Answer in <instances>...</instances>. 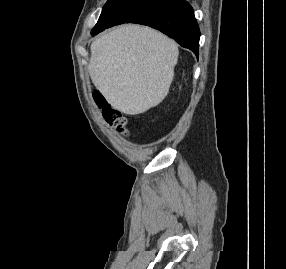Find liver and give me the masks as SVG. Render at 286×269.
Wrapping results in <instances>:
<instances>
[{
	"mask_svg": "<svg viewBox=\"0 0 286 269\" xmlns=\"http://www.w3.org/2000/svg\"><path fill=\"white\" fill-rule=\"evenodd\" d=\"M90 50L92 82L114 109L141 114L168 94L179 52L162 33L123 25L96 39Z\"/></svg>",
	"mask_w": 286,
	"mask_h": 269,
	"instance_id": "obj_1",
	"label": "liver"
}]
</instances>
